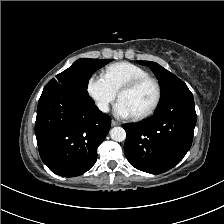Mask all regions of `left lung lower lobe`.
Segmentation results:
<instances>
[{
	"label": "left lung lower lobe",
	"instance_id": "obj_1",
	"mask_svg": "<svg viewBox=\"0 0 224 224\" xmlns=\"http://www.w3.org/2000/svg\"><path fill=\"white\" fill-rule=\"evenodd\" d=\"M196 112L191 92L157 107L137 124H124L125 156L141 171L160 174L178 164L191 147Z\"/></svg>",
	"mask_w": 224,
	"mask_h": 224
}]
</instances>
